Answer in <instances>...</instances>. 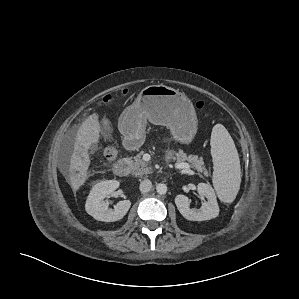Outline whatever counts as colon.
I'll return each mask as SVG.
<instances>
[{
  "label": "colon",
  "instance_id": "obj_1",
  "mask_svg": "<svg viewBox=\"0 0 299 299\" xmlns=\"http://www.w3.org/2000/svg\"><path fill=\"white\" fill-rule=\"evenodd\" d=\"M112 100H113V97H112L111 95H106V96H104L103 99H102L103 103H105V104H109V103H111ZM196 107H197L198 109H203V108L205 107V104H204V102H202V101H198V102L196 103ZM116 155H117V150H116L114 147H109V148L105 151V157H106L107 160H112V159H114V158L116 157Z\"/></svg>",
  "mask_w": 299,
  "mask_h": 299
}]
</instances>
